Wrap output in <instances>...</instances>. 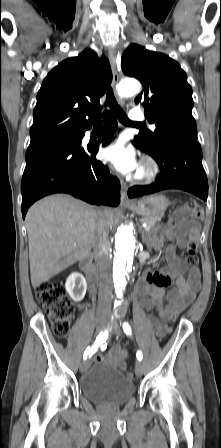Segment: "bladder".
Segmentation results:
<instances>
[{
  "label": "bladder",
  "instance_id": "1",
  "mask_svg": "<svg viewBox=\"0 0 221 448\" xmlns=\"http://www.w3.org/2000/svg\"><path fill=\"white\" fill-rule=\"evenodd\" d=\"M79 388L88 400L109 407H120L135 394L133 380L110 362L95 364L81 377Z\"/></svg>",
  "mask_w": 221,
  "mask_h": 448
}]
</instances>
